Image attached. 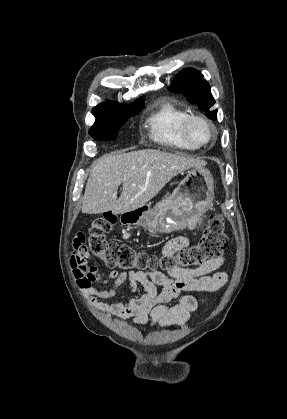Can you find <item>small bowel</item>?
<instances>
[{"mask_svg":"<svg viewBox=\"0 0 287 419\" xmlns=\"http://www.w3.org/2000/svg\"><path fill=\"white\" fill-rule=\"evenodd\" d=\"M185 236L169 240L163 248L164 255H173L189 245ZM89 253L86 247L75 240L70 258V266L77 285L88 298L90 304L97 310L118 317L132 318L137 325L150 323L161 327H178L184 325L192 312L197 309L198 299L193 295H182V292H214L223 286L228 278L224 271H216L224 262L221 255L197 269L175 267L168 275L159 271H110L103 277L99 268L88 261ZM214 272L212 275L210 273ZM96 284L112 287L108 290L98 289ZM126 284L129 293H134L141 285L145 293L137 298L123 299L117 303L108 304L99 299L114 297ZM162 286L157 292L156 286ZM178 298L176 304L170 302Z\"/></svg>","mask_w":287,"mask_h":419,"instance_id":"c3829d8e","label":"small bowel"}]
</instances>
